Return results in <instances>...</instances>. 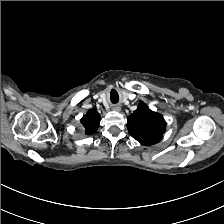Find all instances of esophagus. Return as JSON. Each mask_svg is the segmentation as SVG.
Segmentation results:
<instances>
[{
  "mask_svg": "<svg viewBox=\"0 0 224 224\" xmlns=\"http://www.w3.org/2000/svg\"><path fill=\"white\" fill-rule=\"evenodd\" d=\"M112 110H113V111H120V110H121V107H120L119 105H114V106L112 107Z\"/></svg>",
  "mask_w": 224,
  "mask_h": 224,
  "instance_id": "esophagus-1",
  "label": "esophagus"
}]
</instances>
